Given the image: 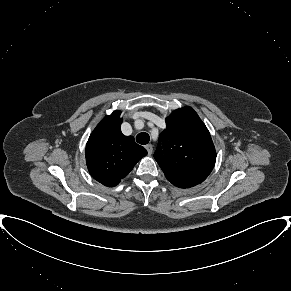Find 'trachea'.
I'll return each mask as SVG.
<instances>
[{"label":"trachea","instance_id":"1","mask_svg":"<svg viewBox=\"0 0 291 291\" xmlns=\"http://www.w3.org/2000/svg\"><path fill=\"white\" fill-rule=\"evenodd\" d=\"M136 141L141 145H145L150 141V136L145 132H141L136 136Z\"/></svg>","mask_w":291,"mask_h":291}]
</instances>
